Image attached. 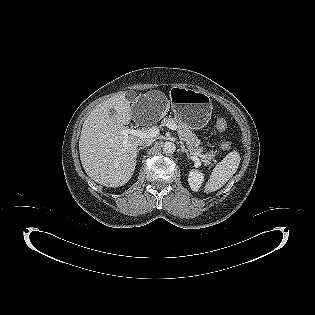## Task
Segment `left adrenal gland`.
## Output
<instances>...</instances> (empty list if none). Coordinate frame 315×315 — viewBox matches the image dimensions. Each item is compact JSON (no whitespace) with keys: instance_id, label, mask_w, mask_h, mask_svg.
Wrapping results in <instances>:
<instances>
[{"instance_id":"left-adrenal-gland-1","label":"left adrenal gland","mask_w":315,"mask_h":315,"mask_svg":"<svg viewBox=\"0 0 315 315\" xmlns=\"http://www.w3.org/2000/svg\"><path fill=\"white\" fill-rule=\"evenodd\" d=\"M180 151H181V153H186L188 158L190 157L188 150L185 148V146L183 144L180 145Z\"/></svg>"}]
</instances>
